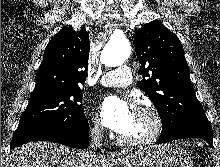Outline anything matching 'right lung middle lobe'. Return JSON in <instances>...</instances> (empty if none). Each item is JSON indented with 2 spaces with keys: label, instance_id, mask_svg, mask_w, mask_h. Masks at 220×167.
Wrapping results in <instances>:
<instances>
[{
  "label": "right lung middle lobe",
  "instance_id": "obj_1",
  "mask_svg": "<svg viewBox=\"0 0 220 167\" xmlns=\"http://www.w3.org/2000/svg\"><path fill=\"white\" fill-rule=\"evenodd\" d=\"M82 94L79 86L70 87L56 93L30 98L18 127L40 123H72L84 113Z\"/></svg>",
  "mask_w": 220,
  "mask_h": 167
}]
</instances>
